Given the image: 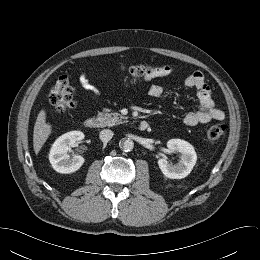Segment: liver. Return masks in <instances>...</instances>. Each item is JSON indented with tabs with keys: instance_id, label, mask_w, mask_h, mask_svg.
Returning <instances> with one entry per match:
<instances>
[{
	"instance_id": "6515ba94",
	"label": "liver",
	"mask_w": 260,
	"mask_h": 260,
	"mask_svg": "<svg viewBox=\"0 0 260 260\" xmlns=\"http://www.w3.org/2000/svg\"><path fill=\"white\" fill-rule=\"evenodd\" d=\"M51 131V125L46 123V112L42 109L37 116L33 131V148L36 154L41 150Z\"/></svg>"
}]
</instances>
